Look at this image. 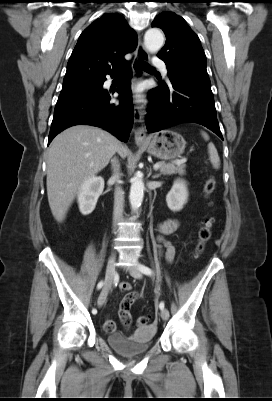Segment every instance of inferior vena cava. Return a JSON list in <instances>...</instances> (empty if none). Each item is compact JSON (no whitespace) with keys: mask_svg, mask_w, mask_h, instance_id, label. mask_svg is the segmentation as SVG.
I'll use <instances>...</instances> for the list:
<instances>
[{"mask_svg":"<svg viewBox=\"0 0 272 401\" xmlns=\"http://www.w3.org/2000/svg\"><path fill=\"white\" fill-rule=\"evenodd\" d=\"M112 165L114 167L113 180L118 181L120 179L119 165L116 164V160H112ZM124 207V192L119 187L116 186L114 193V211H113V220L116 223L121 217L123 213Z\"/></svg>","mask_w":272,"mask_h":401,"instance_id":"602c4592","label":"inferior vena cava"}]
</instances>
